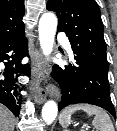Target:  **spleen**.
<instances>
[{
	"mask_svg": "<svg viewBox=\"0 0 117 131\" xmlns=\"http://www.w3.org/2000/svg\"><path fill=\"white\" fill-rule=\"evenodd\" d=\"M78 110H83L88 116H95L92 124L98 131H114L113 123L107 112L90 104H76L65 108L59 116L60 125L64 128L69 126L72 114Z\"/></svg>",
	"mask_w": 117,
	"mask_h": 131,
	"instance_id": "obj_1",
	"label": "spleen"
}]
</instances>
